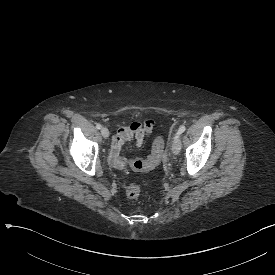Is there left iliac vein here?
<instances>
[{"label": "left iliac vein", "mask_w": 275, "mask_h": 275, "mask_svg": "<svg viewBox=\"0 0 275 275\" xmlns=\"http://www.w3.org/2000/svg\"><path fill=\"white\" fill-rule=\"evenodd\" d=\"M179 136L174 138V140L172 141V144H171L172 145V151L176 155L179 154L180 149H181Z\"/></svg>", "instance_id": "left-iliac-vein-1"}]
</instances>
